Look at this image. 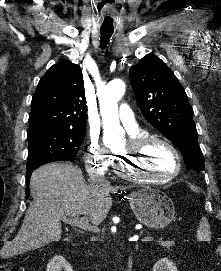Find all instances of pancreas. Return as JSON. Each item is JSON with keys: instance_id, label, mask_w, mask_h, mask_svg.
Masks as SVG:
<instances>
[{"instance_id": "pancreas-1", "label": "pancreas", "mask_w": 221, "mask_h": 271, "mask_svg": "<svg viewBox=\"0 0 221 271\" xmlns=\"http://www.w3.org/2000/svg\"><path fill=\"white\" fill-rule=\"evenodd\" d=\"M155 244L160 247H175L174 239H155Z\"/></svg>"}]
</instances>
